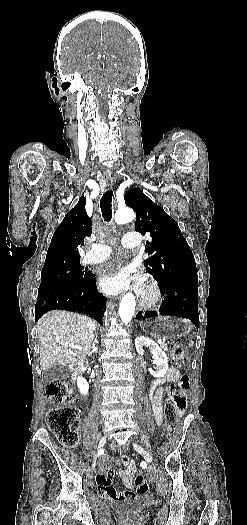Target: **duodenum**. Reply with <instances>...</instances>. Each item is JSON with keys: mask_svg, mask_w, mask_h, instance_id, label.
Segmentation results:
<instances>
[{"mask_svg": "<svg viewBox=\"0 0 247 525\" xmlns=\"http://www.w3.org/2000/svg\"><path fill=\"white\" fill-rule=\"evenodd\" d=\"M84 364H78L76 369V375L84 371Z\"/></svg>", "mask_w": 247, "mask_h": 525, "instance_id": "obj_1", "label": "duodenum"}]
</instances>
